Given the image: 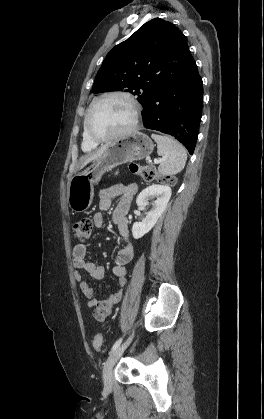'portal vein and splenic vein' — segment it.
Here are the masks:
<instances>
[{"instance_id": "18ae733b", "label": "portal vein and splenic vein", "mask_w": 264, "mask_h": 419, "mask_svg": "<svg viewBox=\"0 0 264 419\" xmlns=\"http://www.w3.org/2000/svg\"><path fill=\"white\" fill-rule=\"evenodd\" d=\"M162 160H163V159H154V163H155V164H158V163L162 162Z\"/></svg>"}]
</instances>
